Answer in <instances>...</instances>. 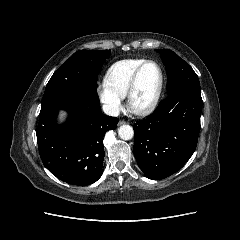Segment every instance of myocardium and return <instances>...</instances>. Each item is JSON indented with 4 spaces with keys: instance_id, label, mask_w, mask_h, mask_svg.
I'll return each mask as SVG.
<instances>
[{
    "instance_id": "obj_1",
    "label": "myocardium",
    "mask_w": 240,
    "mask_h": 240,
    "mask_svg": "<svg viewBox=\"0 0 240 240\" xmlns=\"http://www.w3.org/2000/svg\"><path fill=\"white\" fill-rule=\"evenodd\" d=\"M148 64H153L154 66H156V68L158 70V73H159L158 86L156 88V91H155L152 99L146 105L136 106L134 104L133 97H134V94H135V91L137 88L138 79H139L141 71ZM163 86H164V73H163V70H162L160 64L154 60H145L136 68V70L134 71V73L130 79L127 93H126L128 108L137 115H147V114L151 113L158 105V102H159L161 94H162Z\"/></svg>"
}]
</instances>
